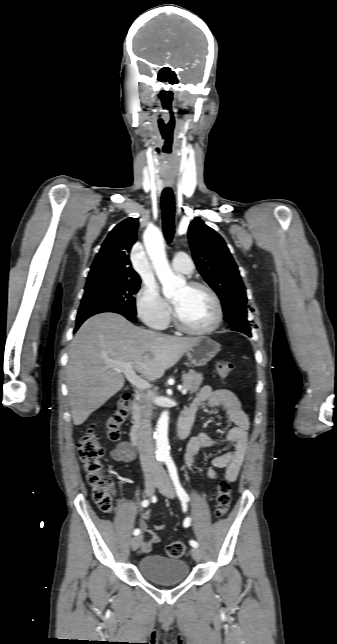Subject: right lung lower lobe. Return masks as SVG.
I'll return each mask as SVG.
<instances>
[{
    "label": "right lung lower lobe",
    "instance_id": "right-lung-lower-lobe-1",
    "mask_svg": "<svg viewBox=\"0 0 337 644\" xmlns=\"http://www.w3.org/2000/svg\"><path fill=\"white\" fill-rule=\"evenodd\" d=\"M111 312L121 314V315H123L124 317H126L128 320H130L131 322H136V320H137V318H136V316H135V315L129 314V313H127V312H123V311H111ZM86 319H87V318H84V319H81V320H77V322H76V327H75L74 332H75V331H77V329L80 327V325H81V324H82Z\"/></svg>",
    "mask_w": 337,
    "mask_h": 644
}]
</instances>
